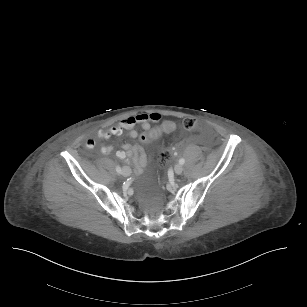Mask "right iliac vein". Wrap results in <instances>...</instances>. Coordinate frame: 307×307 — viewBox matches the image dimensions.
<instances>
[{"label":"right iliac vein","instance_id":"obj_1","mask_svg":"<svg viewBox=\"0 0 307 307\" xmlns=\"http://www.w3.org/2000/svg\"><path fill=\"white\" fill-rule=\"evenodd\" d=\"M130 173H131V170H130L129 167H124V168H123L122 174H123L124 176H129Z\"/></svg>","mask_w":307,"mask_h":307}]
</instances>
